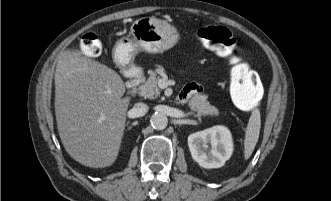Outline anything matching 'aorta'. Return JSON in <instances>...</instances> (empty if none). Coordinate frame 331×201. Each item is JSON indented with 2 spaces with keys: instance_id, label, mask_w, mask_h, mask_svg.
Listing matches in <instances>:
<instances>
[{
  "instance_id": "obj_1",
  "label": "aorta",
  "mask_w": 331,
  "mask_h": 201,
  "mask_svg": "<svg viewBox=\"0 0 331 201\" xmlns=\"http://www.w3.org/2000/svg\"><path fill=\"white\" fill-rule=\"evenodd\" d=\"M150 123L155 129H164L168 124V118L164 113L156 112L151 116Z\"/></svg>"
}]
</instances>
